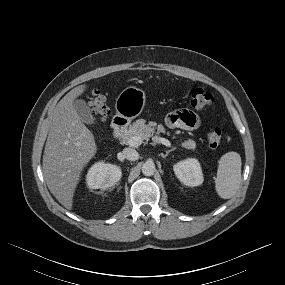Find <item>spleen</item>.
Wrapping results in <instances>:
<instances>
[{"mask_svg":"<svg viewBox=\"0 0 285 285\" xmlns=\"http://www.w3.org/2000/svg\"><path fill=\"white\" fill-rule=\"evenodd\" d=\"M241 183V157L237 152H228L218 161L215 189L222 199L235 195Z\"/></svg>","mask_w":285,"mask_h":285,"instance_id":"spleen-1","label":"spleen"}]
</instances>
